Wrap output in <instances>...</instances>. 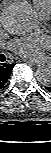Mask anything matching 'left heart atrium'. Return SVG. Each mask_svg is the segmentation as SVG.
<instances>
[{"label": "left heart atrium", "instance_id": "left-heart-atrium-1", "mask_svg": "<svg viewBox=\"0 0 51 153\" xmlns=\"http://www.w3.org/2000/svg\"><path fill=\"white\" fill-rule=\"evenodd\" d=\"M50 39L45 34H35L24 38H18L10 43L11 49L21 57L35 60L41 57L43 51L48 48Z\"/></svg>", "mask_w": 51, "mask_h": 153}]
</instances>
